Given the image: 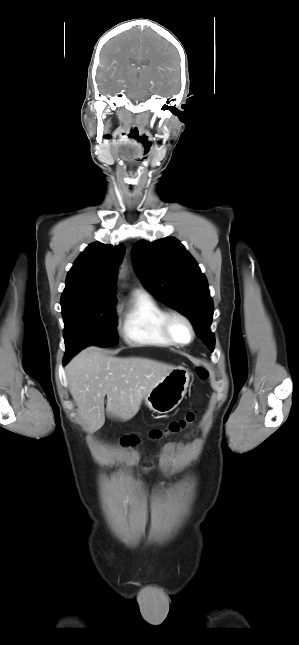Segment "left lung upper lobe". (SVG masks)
Returning <instances> with one entry per match:
<instances>
[{
	"label": "left lung upper lobe",
	"instance_id": "obj_1",
	"mask_svg": "<svg viewBox=\"0 0 299 645\" xmlns=\"http://www.w3.org/2000/svg\"><path fill=\"white\" fill-rule=\"evenodd\" d=\"M131 253L143 285L160 301L188 317L197 335L213 351V301L205 275L185 247L167 237L152 243L140 240Z\"/></svg>",
	"mask_w": 299,
	"mask_h": 645
}]
</instances>
